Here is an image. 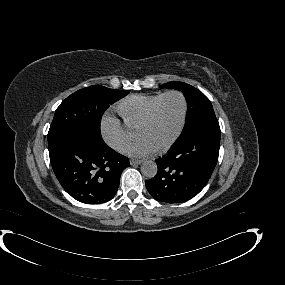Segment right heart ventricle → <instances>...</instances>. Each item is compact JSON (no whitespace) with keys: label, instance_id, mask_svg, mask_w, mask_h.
<instances>
[{"label":"right heart ventricle","instance_id":"obj_1","mask_svg":"<svg viewBox=\"0 0 285 285\" xmlns=\"http://www.w3.org/2000/svg\"><path fill=\"white\" fill-rule=\"evenodd\" d=\"M162 94L153 95H131L122 100L117 107L125 125L131 129H136L148 116L155 102Z\"/></svg>","mask_w":285,"mask_h":285}]
</instances>
